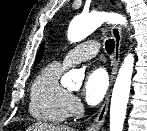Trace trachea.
Segmentation results:
<instances>
[{"instance_id": "obj_1", "label": "trachea", "mask_w": 147, "mask_h": 131, "mask_svg": "<svg viewBox=\"0 0 147 131\" xmlns=\"http://www.w3.org/2000/svg\"><path fill=\"white\" fill-rule=\"evenodd\" d=\"M105 48H106V51L109 54H112L113 51H114V48H115V41H114V39H108V40H106V42H105Z\"/></svg>"}]
</instances>
